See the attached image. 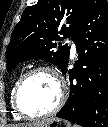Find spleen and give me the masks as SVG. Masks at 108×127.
Masks as SVG:
<instances>
[{"label": "spleen", "instance_id": "spleen-1", "mask_svg": "<svg viewBox=\"0 0 108 127\" xmlns=\"http://www.w3.org/2000/svg\"><path fill=\"white\" fill-rule=\"evenodd\" d=\"M73 127H80V126H79V125H77V124H74V125H73Z\"/></svg>", "mask_w": 108, "mask_h": 127}]
</instances>
